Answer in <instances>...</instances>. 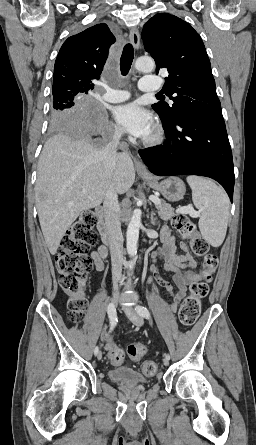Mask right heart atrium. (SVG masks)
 Returning a JSON list of instances; mask_svg holds the SVG:
<instances>
[{
    "instance_id": "1",
    "label": "right heart atrium",
    "mask_w": 256,
    "mask_h": 445,
    "mask_svg": "<svg viewBox=\"0 0 256 445\" xmlns=\"http://www.w3.org/2000/svg\"><path fill=\"white\" fill-rule=\"evenodd\" d=\"M112 133L115 137H119L121 135V130L119 127H117L116 125L113 126L112 128Z\"/></svg>"
}]
</instances>
